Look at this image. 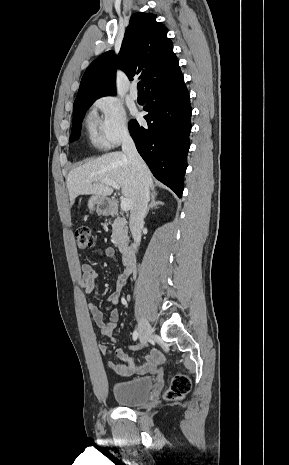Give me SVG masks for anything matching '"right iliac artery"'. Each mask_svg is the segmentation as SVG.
Instances as JSON below:
<instances>
[{"label": "right iliac artery", "mask_w": 289, "mask_h": 465, "mask_svg": "<svg viewBox=\"0 0 289 465\" xmlns=\"http://www.w3.org/2000/svg\"><path fill=\"white\" fill-rule=\"evenodd\" d=\"M137 339H138V332H137V330H135L133 332V340L136 341Z\"/></svg>", "instance_id": "obj_1"}]
</instances>
